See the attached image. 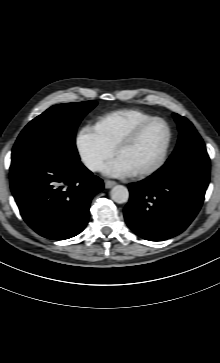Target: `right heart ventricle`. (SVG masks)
Returning <instances> with one entry per match:
<instances>
[{"label":"right heart ventricle","instance_id":"1","mask_svg":"<svg viewBox=\"0 0 220 363\" xmlns=\"http://www.w3.org/2000/svg\"><path fill=\"white\" fill-rule=\"evenodd\" d=\"M153 116L138 109H122L97 119L95 129L112 148L131 129Z\"/></svg>","mask_w":220,"mask_h":363}]
</instances>
